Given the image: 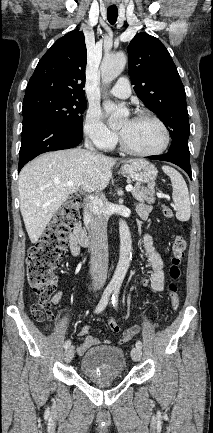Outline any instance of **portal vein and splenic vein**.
Returning <instances> with one entry per match:
<instances>
[{"label": "portal vein and splenic vein", "mask_w": 213, "mask_h": 433, "mask_svg": "<svg viewBox=\"0 0 213 433\" xmlns=\"http://www.w3.org/2000/svg\"><path fill=\"white\" fill-rule=\"evenodd\" d=\"M66 186L73 187L74 183L72 181H69V182L66 183ZM126 190L127 191H132L133 190V186H131V185L126 186Z\"/></svg>", "instance_id": "portal-vein-and-splenic-vein-1"}]
</instances>
